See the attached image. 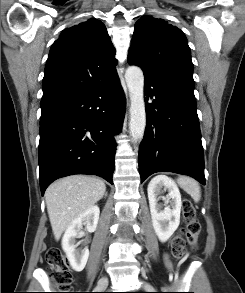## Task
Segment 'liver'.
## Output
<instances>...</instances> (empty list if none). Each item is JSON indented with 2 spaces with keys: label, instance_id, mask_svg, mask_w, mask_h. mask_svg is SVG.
Wrapping results in <instances>:
<instances>
[{
  "label": "liver",
  "instance_id": "obj_1",
  "mask_svg": "<svg viewBox=\"0 0 245 293\" xmlns=\"http://www.w3.org/2000/svg\"><path fill=\"white\" fill-rule=\"evenodd\" d=\"M105 183L95 177L73 175L51 184L45 200L52 231L59 240L69 224L105 194Z\"/></svg>",
  "mask_w": 245,
  "mask_h": 293
}]
</instances>
